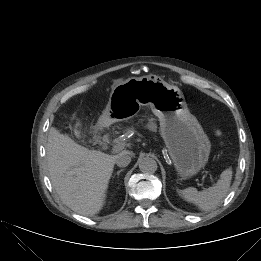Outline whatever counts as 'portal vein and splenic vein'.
I'll return each instance as SVG.
<instances>
[{
	"label": "portal vein and splenic vein",
	"instance_id": "1",
	"mask_svg": "<svg viewBox=\"0 0 261 261\" xmlns=\"http://www.w3.org/2000/svg\"><path fill=\"white\" fill-rule=\"evenodd\" d=\"M125 144L124 143H120L115 145L112 149H111V153L115 154L118 153L120 150H122L124 148Z\"/></svg>",
	"mask_w": 261,
	"mask_h": 261
}]
</instances>
